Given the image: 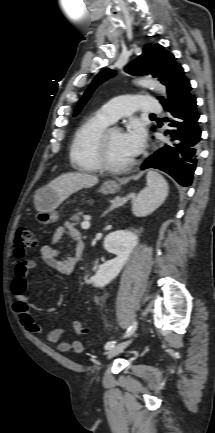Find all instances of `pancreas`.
Returning a JSON list of instances; mask_svg holds the SVG:
<instances>
[{"instance_id":"obj_1","label":"pancreas","mask_w":215,"mask_h":433,"mask_svg":"<svg viewBox=\"0 0 215 433\" xmlns=\"http://www.w3.org/2000/svg\"><path fill=\"white\" fill-rule=\"evenodd\" d=\"M82 215L81 212L73 215L70 220L74 222V225L78 224L80 222V216Z\"/></svg>"}]
</instances>
